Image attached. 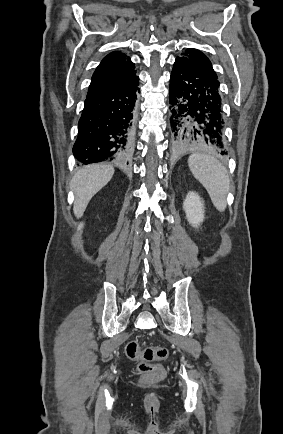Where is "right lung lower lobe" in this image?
Instances as JSON below:
<instances>
[{
	"mask_svg": "<svg viewBox=\"0 0 283 434\" xmlns=\"http://www.w3.org/2000/svg\"><path fill=\"white\" fill-rule=\"evenodd\" d=\"M138 85L135 76L119 88L87 96L73 147L81 163L123 162L130 155Z\"/></svg>",
	"mask_w": 283,
	"mask_h": 434,
	"instance_id": "98d812e1",
	"label": "right lung lower lobe"
}]
</instances>
